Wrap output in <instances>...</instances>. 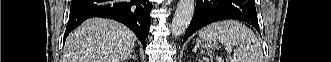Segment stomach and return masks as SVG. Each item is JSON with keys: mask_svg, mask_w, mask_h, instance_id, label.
Instances as JSON below:
<instances>
[{"mask_svg": "<svg viewBox=\"0 0 331 62\" xmlns=\"http://www.w3.org/2000/svg\"><path fill=\"white\" fill-rule=\"evenodd\" d=\"M197 46L205 48L207 50H213L216 48L217 43L216 41L206 40V39H198Z\"/></svg>", "mask_w": 331, "mask_h": 62, "instance_id": "stomach-1", "label": "stomach"}]
</instances>
